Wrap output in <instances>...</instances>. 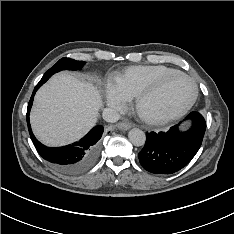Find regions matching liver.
I'll return each mask as SVG.
<instances>
[{
  "label": "liver",
  "mask_w": 234,
  "mask_h": 234,
  "mask_svg": "<svg viewBox=\"0 0 234 234\" xmlns=\"http://www.w3.org/2000/svg\"><path fill=\"white\" fill-rule=\"evenodd\" d=\"M101 105L92 83L56 74L35 95L30 114L33 132L48 146L74 142L95 125Z\"/></svg>",
  "instance_id": "6515ba94"
}]
</instances>
